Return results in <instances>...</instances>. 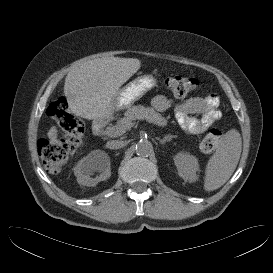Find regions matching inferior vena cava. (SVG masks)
<instances>
[{"label": "inferior vena cava", "mask_w": 273, "mask_h": 273, "mask_svg": "<svg viewBox=\"0 0 273 273\" xmlns=\"http://www.w3.org/2000/svg\"><path fill=\"white\" fill-rule=\"evenodd\" d=\"M106 146L109 149H120L125 146V142L120 140H112V141H108Z\"/></svg>", "instance_id": "1"}]
</instances>
